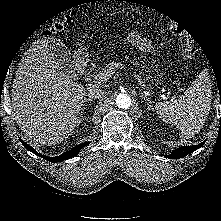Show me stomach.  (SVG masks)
Here are the masks:
<instances>
[{
    "mask_svg": "<svg viewBox=\"0 0 221 221\" xmlns=\"http://www.w3.org/2000/svg\"><path fill=\"white\" fill-rule=\"evenodd\" d=\"M80 55L84 57L86 55L85 51L80 52Z\"/></svg>",
    "mask_w": 221,
    "mask_h": 221,
    "instance_id": "1",
    "label": "stomach"
}]
</instances>
